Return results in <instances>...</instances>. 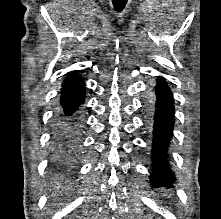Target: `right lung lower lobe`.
Instances as JSON below:
<instances>
[{"instance_id": "right-lung-lower-lobe-1", "label": "right lung lower lobe", "mask_w": 221, "mask_h": 219, "mask_svg": "<svg viewBox=\"0 0 221 219\" xmlns=\"http://www.w3.org/2000/svg\"><path fill=\"white\" fill-rule=\"evenodd\" d=\"M84 90V81L75 71L62 84L61 107L52 123V161L57 166L68 164L79 152L82 129L79 107L84 102Z\"/></svg>"}]
</instances>
